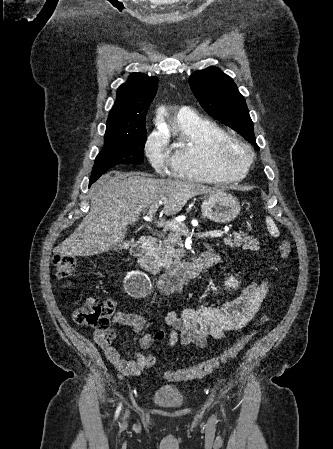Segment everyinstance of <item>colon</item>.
Returning <instances> with one entry per match:
<instances>
[{
    "label": "colon",
    "instance_id": "5ec220e1",
    "mask_svg": "<svg viewBox=\"0 0 333 449\" xmlns=\"http://www.w3.org/2000/svg\"><path fill=\"white\" fill-rule=\"evenodd\" d=\"M277 251L283 259H288L291 255V246L287 241H279L277 244ZM52 265L59 278L67 279L74 272L76 260L71 255L57 253L52 257ZM114 311L115 303L112 300L101 302L86 300L82 306L74 311L73 318L79 324L105 331L108 330L110 326V320ZM247 340V336L239 339L223 355L216 359L208 360L187 368L165 371L162 373V376L165 379L174 381H185L204 377L212 373L220 365L236 358Z\"/></svg>",
    "mask_w": 333,
    "mask_h": 449
}]
</instances>
